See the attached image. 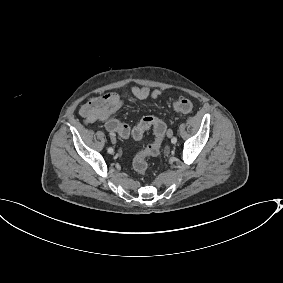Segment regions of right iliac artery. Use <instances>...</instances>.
<instances>
[{"instance_id": "82829eb1", "label": "right iliac artery", "mask_w": 283, "mask_h": 283, "mask_svg": "<svg viewBox=\"0 0 283 283\" xmlns=\"http://www.w3.org/2000/svg\"><path fill=\"white\" fill-rule=\"evenodd\" d=\"M113 151H114V150H113V148H112V147H109V148H108V153H110V154H111V153H113Z\"/></svg>"}]
</instances>
